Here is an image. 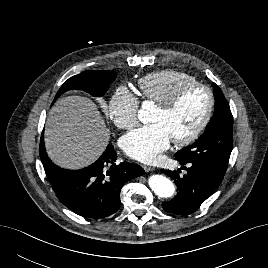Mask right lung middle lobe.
Wrapping results in <instances>:
<instances>
[{
    "mask_svg": "<svg viewBox=\"0 0 268 268\" xmlns=\"http://www.w3.org/2000/svg\"><path fill=\"white\" fill-rule=\"evenodd\" d=\"M116 78L115 71L88 70L69 78L59 89L54 101L65 91L83 90L94 97H100L108 90ZM53 101V102H54Z\"/></svg>",
    "mask_w": 268,
    "mask_h": 268,
    "instance_id": "1",
    "label": "right lung middle lobe"
}]
</instances>
